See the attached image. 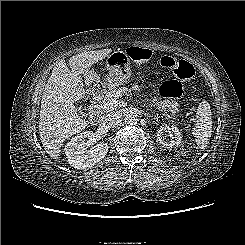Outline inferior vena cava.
Listing matches in <instances>:
<instances>
[{"instance_id": "1", "label": "inferior vena cava", "mask_w": 245, "mask_h": 245, "mask_svg": "<svg viewBox=\"0 0 245 245\" xmlns=\"http://www.w3.org/2000/svg\"><path fill=\"white\" fill-rule=\"evenodd\" d=\"M119 119L117 113L110 112L102 116L100 125L105 128H111Z\"/></svg>"}]
</instances>
